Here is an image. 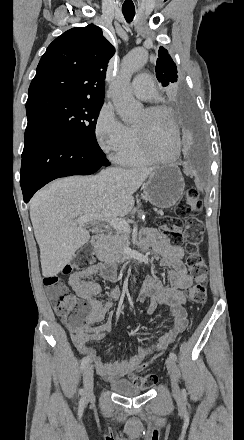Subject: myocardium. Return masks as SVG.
I'll list each match as a JSON object with an SVG mask.
<instances>
[{
  "mask_svg": "<svg viewBox=\"0 0 244 440\" xmlns=\"http://www.w3.org/2000/svg\"><path fill=\"white\" fill-rule=\"evenodd\" d=\"M145 112H155V111H166V107L162 106V105H152L149 107H146ZM168 116V122H169V127H172L169 130V133H172L173 135V141H172V154L169 158H163V157H159V158H155L157 155L155 154V150L154 149H149V154L153 155V159H156L158 164L161 165H172L178 158V148H179V135L178 132L176 130V127L174 125V119H173V115H172V111L171 110H167L165 112ZM136 131L139 132V142H140V146L144 147L146 144L145 142V136L148 133L146 130H140L137 127L134 128ZM156 148V146H155ZM157 149V148H156Z\"/></svg>",
  "mask_w": 244,
  "mask_h": 440,
  "instance_id": "myocardium-1",
  "label": "myocardium"
}]
</instances>
